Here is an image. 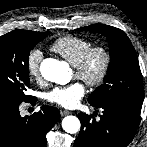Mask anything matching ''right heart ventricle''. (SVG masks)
Segmentation results:
<instances>
[{
  "label": "right heart ventricle",
  "mask_w": 147,
  "mask_h": 147,
  "mask_svg": "<svg viewBox=\"0 0 147 147\" xmlns=\"http://www.w3.org/2000/svg\"><path fill=\"white\" fill-rule=\"evenodd\" d=\"M92 45V42L84 37L66 35L54 41L51 50L75 66Z\"/></svg>",
  "instance_id": "1"
}]
</instances>
